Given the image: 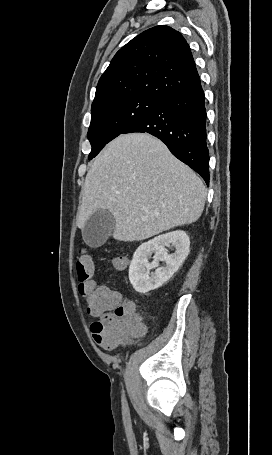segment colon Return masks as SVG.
Returning <instances> with one entry per match:
<instances>
[{"label": "colon", "mask_w": 272, "mask_h": 455, "mask_svg": "<svg viewBox=\"0 0 272 455\" xmlns=\"http://www.w3.org/2000/svg\"><path fill=\"white\" fill-rule=\"evenodd\" d=\"M125 265L122 258L114 260V266ZM78 293L84 300L87 310L97 319L91 324L94 341L104 349L115 347L123 339L138 336L144 332V325L136 314L131 302L122 301L120 295L106 286L98 285L93 279L94 258L81 253L76 263Z\"/></svg>", "instance_id": "1"}]
</instances>
